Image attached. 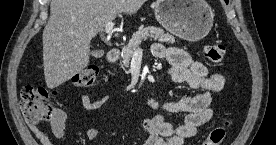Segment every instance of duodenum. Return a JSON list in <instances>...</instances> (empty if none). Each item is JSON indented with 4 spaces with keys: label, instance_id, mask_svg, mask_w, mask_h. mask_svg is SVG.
Returning a JSON list of instances; mask_svg holds the SVG:
<instances>
[{
    "label": "duodenum",
    "instance_id": "410a0bca",
    "mask_svg": "<svg viewBox=\"0 0 276 145\" xmlns=\"http://www.w3.org/2000/svg\"><path fill=\"white\" fill-rule=\"evenodd\" d=\"M120 51L118 48H111L106 54L107 62H115L119 58Z\"/></svg>",
    "mask_w": 276,
    "mask_h": 145
}]
</instances>
